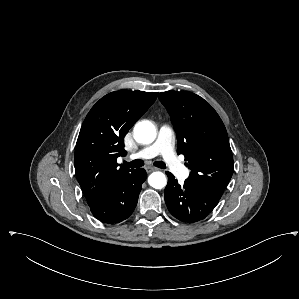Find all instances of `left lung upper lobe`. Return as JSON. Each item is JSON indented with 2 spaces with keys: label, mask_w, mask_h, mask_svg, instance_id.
<instances>
[{
  "label": "left lung upper lobe",
  "mask_w": 299,
  "mask_h": 299,
  "mask_svg": "<svg viewBox=\"0 0 299 299\" xmlns=\"http://www.w3.org/2000/svg\"><path fill=\"white\" fill-rule=\"evenodd\" d=\"M173 122L178 153L191 169L188 181L221 198L234 169L225 126L216 111L191 92L159 94Z\"/></svg>",
  "instance_id": "left-lung-upper-lobe-1"
}]
</instances>
